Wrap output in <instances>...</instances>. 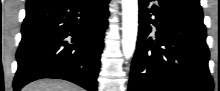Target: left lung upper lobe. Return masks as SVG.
Instances as JSON below:
<instances>
[{
    "label": "left lung upper lobe",
    "mask_w": 220,
    "mask_h": 91,
    "mask_svg": "<svg viewBox=\"0 0 220 91\" xmlns=\"http://www.w3.org/2000/svg\"><path fill=\"white\" fill-rule=\"evenodd\" d=\"M188 1L193 2V3L197 4V5H200L199 0H188Z\"/></svg>",
    "instance_id": "5c2ea615"
}]
</instances>
